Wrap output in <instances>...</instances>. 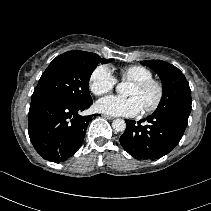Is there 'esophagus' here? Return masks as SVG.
<instances>
[{
  "label": "esophagus",
  "mask_w": 211,
  "mask_h": 211,
  "mask_svg": "<svg viewBox=\"0 0 211 211\" xmlns=\"http://www.w3.org/2000/svg\"><path fill=\"white\" fill-rule=\"evenodd\" d=\"M103 117H104V118H106V119H109V120H112V119H114V117H112V116H109V115H106V114H104V115H103Z\"/></svg>",
  "instance_id": "1"
}]
</instances>
